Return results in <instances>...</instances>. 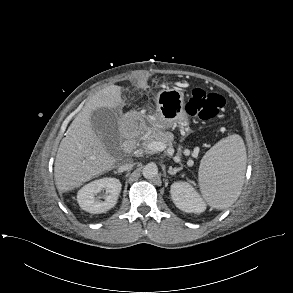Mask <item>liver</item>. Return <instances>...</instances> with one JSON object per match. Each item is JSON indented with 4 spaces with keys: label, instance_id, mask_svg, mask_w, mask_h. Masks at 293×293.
I'll use <instances>...</instances> for the list:
<instances>
[{
    "label": "liver",
    "instance_id": "1",
    "mask_svg": "<svg viewBox=\"0 0 293 293\" xmlns=\"http://www.w3.org/2000/svg\"><path fill=\"white\" fill-rule=\"evenodd\" d=\"M121 87L110 85L93 95L76 116L62 139L55 160L54 178L59 192L80 187L110 171L116 159L105 149L91 123L98 108H117L123 103Z\"/></svg>",
    "mask_w": 293,
    "mask_h": 293
}]
</instances>
